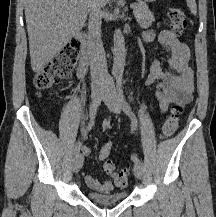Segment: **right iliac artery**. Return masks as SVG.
I'll use <instances>...</instances> for the list:
<instances>
[{"label": "right iliac artery", "mask_w": 216, "mask_h": 217, "mask_svg": "<svg viewBox=\"0 0 216 217\" xmlns=\"http://www.w3.org/2000/svg\"><path fill=\"white\" fill-rule=\"evenodd\" d=\"M96 111H97V104L96 103H92L91 106H90V109H89V115H90V122L87 126V129H86V133L93 127L94 125V119H95V115H96ZM85 133V135H86ZM84 135V136H85ZM80 146H81V142L79 141L75 148H74V155H77L79 154L80 152Z\"/></svg>", "instance_id": "82829eb1"}]
</instances>
